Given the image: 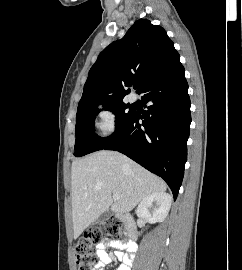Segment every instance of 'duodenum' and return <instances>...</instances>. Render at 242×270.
I'll use <instances>...</instances> for the list:
<instances>
[{
  "mask_svg": "<svg viewBox=\"0 0 242 270\" xmlns=\"http://www.w3.org/2000/svg\"><path fill=\"white\" fill-rule=\"evenodd\" d=\"M120 219L127 224L130 238L132 240L136 239V227L133 223L132 217L128 214H122L120 215ZM132 251L134 252L135 249L133 248Z\"/></svg>",
  "mask_w": 242,
  "mask_h": 270,
  "instance_id": "410a0bca",
  "label": "duodenum"
}]
</instances>
